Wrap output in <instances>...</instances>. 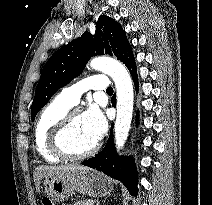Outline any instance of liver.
Instances as JSON below:
<instances>
[{"label": "liver", "mask_w": 212, "mask_h": 205, "mask_svg": "<svg viewBox=\"0 0 212 205\" xmlns=\"http://www.w3.org/2000/svg\"><path fill=\"white\" fill-rule=\"evenodd\" d=\"M89 170L90 168L80 165L39 166L34 172V182L37 190H39L41 179L45 176H58L66 173L83 174L89 172Z\"/></svg>", "instance_id": "6515ba94"}]
</instances>
